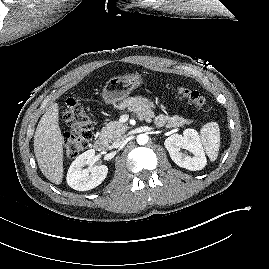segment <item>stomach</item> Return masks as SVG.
<instances>
[{
	"mask_svg": "<svg viewBox=\"0 0 269 269\" xmlns=\"http://www.w3.org/2000/svg\"><path fill=\"white\" fill-rule=\"evenodd\" d=\"M143 83L144 79L138 73L110 78L102 91V98L106 104L116 106Z\"/></svg>",
	"mask_w": 269,
	"mask_h": 269,
	"instance_id": "obj_1",
	"label": "stomach"
}]
</instances>
